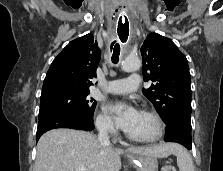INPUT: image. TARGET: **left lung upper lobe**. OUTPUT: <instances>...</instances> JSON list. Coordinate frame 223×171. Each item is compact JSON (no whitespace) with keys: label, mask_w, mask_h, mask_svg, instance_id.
Masks as SVG:
<instances>
[{"label":"left lung upper lobe","mask_w":223,"mask_h":171,"mask_svg":"<svg viewBox=\"0 0 223 171\" xmlns=\"http://www.w3.org/2000/svg\"><path fill=\"white\" fill-rule=\"evenodd\" d=\"M144 81L154 84L143 89L157 112L168 124L182 120L191 124L190 72L186 56L169 38L151 33L141 47Z\"/></svg>","instance_id":"obj_1"}]
</instances>
